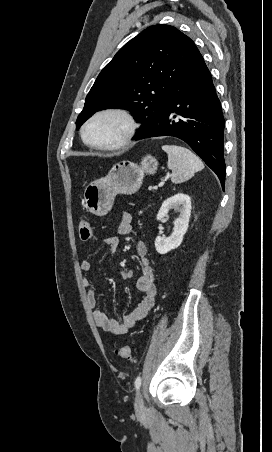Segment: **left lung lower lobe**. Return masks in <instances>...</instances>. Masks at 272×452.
<instances>
[{
  "label": "left lung lower lobe",
  "mask_w": 272,
  "mask_h": 452,
  "mask_svg": "<svg viewBox=\"0 0 272 452\" xmlns=\"http://www.w3.org/2000/svg\"><path fill=\"white\" fill-rule=\"evenodd\" d=\"M224 117L211 74L197 50L177 83L159 120L134 139L171 135L184 140L225 182Z\"/></svg>",
  "instance_id": "left-lung-lower-lobe-1"
}]
</instances>
